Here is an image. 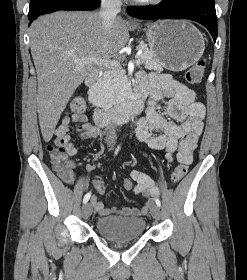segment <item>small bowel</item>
Instances as JSON below:
<instances>
[{
  "label": "small bowel",
  "mask_w": 247,
  "mask_h": 280,
  "mask_svg": "<svg viewBox=\"0 0 247 280\" xmlns=\"http://www.w3.org/2000/svg\"><path fill=\"white\" fill-rule=\"evenodd\" d=\"M138 86L143 92H150V101L146 115L138 121L136 136L138 140L146 143L151 149L164 150L169 162L176 160L184 165L193 161V153L197 147L203 131V119L205 107L196 100L194 89L174 80L170 75L151 73H139L137 76ZM162 98H168L165 115L159 113L156 104ZM72 124H76L75 131L83 140L99 136V127L88 121L85 115L65 116L54 131L55 144L65 148L68 155L77 153L69 134ZM157 132L158 134H154ZM130 179L135 182L133 190L145 197H151L158 192L150 176L146 173L133 170ZM68 184L74 183L73 172L67 179ZM93 185L99 195L105 193V186L100 180H94ZM91 207L100 216L120 214L126 217H137L148 212L149 203L141 208L106 207L103 202L93 196L90 201Z\"/></svg>",
  "instance_id": "small-bowel-1"
}]
</instances>
